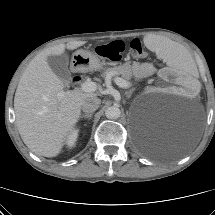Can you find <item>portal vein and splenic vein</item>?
<instances>
[{
    "label": "portal vein and splenic vein",
    "mask_w": 215,
    "mask_h": 215,
    "mask_svg": "<svg viewBox=\"0 0 215 215\" xmlns=\"http://www.w3.org/2000/svg\"><path fill=\"white\" fill-rule=\"evenodd\" d=\"M115 83L121 88H128L131 86V83L120 77L115 78ZM80 89L84 92H94L97 89V84L92 81H85L81 83ZM62 96H63L62 92L58 93V97Z\"/></svg>",
    "instance_id": "portal-vein-and-splenic-vein-1"
}]
</instances>
